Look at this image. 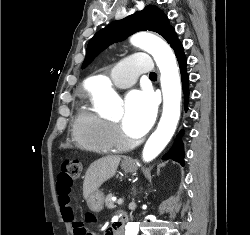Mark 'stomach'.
Masks as SVG:
<instances>
[{
    "mask_svg": "<svg viewBox=\"0 0 250 235\" xmlns=\"http://www.w3.org/2000/svg\"><path fill=\"white\" fill-rule=\"evenodd\" d=\"M121 168L125 172H133L136 170V164L134 162L127 163L123 162L121 164ZM88 206L90 210L93 212H100L103 209L104 205V194L100 190H96L95 192L91 193L88 200H87Z\"/></svg>",
    "mask_w": 250,
    "mask_h": 235,
    "instance_id": "0dacf381",
    "label": "stomach"
}]
</instances>
